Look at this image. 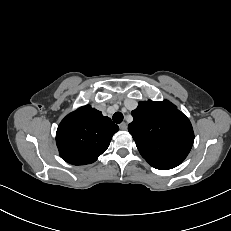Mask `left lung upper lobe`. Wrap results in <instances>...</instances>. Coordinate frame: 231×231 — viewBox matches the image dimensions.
Here are the masks:
<instances>
[{
    "instance_id": "5c2ea615",
    "label": "left lung upper lobe",
    "mask_w": 231,
    "mask_h": 231,
    "mask_svg": "<svg viewBox=\"0 0 231 231\" xmlns=\"http://www.w3.org/2000/svg\"><path fill=\"white\" fill-rule=\"evenodd\" d=\"M128 125L142 157L154 168L168 170L189 154L194 132L189 119L169 101L139 102Z\"/></svg>"
}]
</instances>
